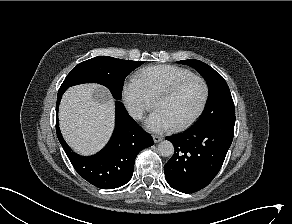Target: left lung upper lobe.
Returning <instances> with one entry per match:
<instances>
[{"label": "left lung upper lobe", "instance_id": "left-lung-upper-lobe-1", "mask_svg": "<svg viewBox=\"0 0 292 224\" xmlns=\"http://www.w3.org/2000/svg\"><path fill=\"white\" fill-rule=\"evenodd\" d=\"M195 68L206 80L209 88L208 102L200 119L193 127H200L212 120L235 115L234 102L224 78L212 67L195 59L179 61Z\"/></svg>", "mask_w": 292, "mask_h": 224}]
</instances>
